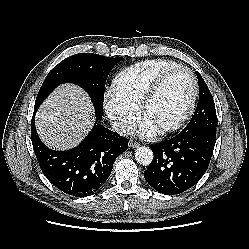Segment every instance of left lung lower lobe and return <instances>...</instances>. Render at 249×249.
Wrapping results in <instances>:
<instances>
[{
  "label": "left lung lower lobe",
  "instance_id": "left-lung-lower-lobe-1",
  "mask_svg": "<svg viewBox=\"0 0 249 249\" xmlns=\"http://www.w3.org/2000/svg\"><path fill=\"white\" fill-rule=\"evenodd\" d=\"M216 143V131L196 129L149 145L154 158L144 171L156 191L174 195L195 185L206 172Z\"/></svg>",
  "mask_w": 249,
  "mask_h": 249
}]
</instances>
